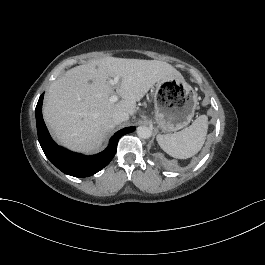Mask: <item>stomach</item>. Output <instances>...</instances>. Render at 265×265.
Listing matches in <instances>:
<instances>
[{"mask_svg": "<svg viewBox=\"0 0 265 265\" xmlns=\"http://www.w3.org/2000/svg\"><path fill=\"white\" fill-rule=\"evenodd\" d=\"M197 106V94L184 78L171 77L156 83L155 120L164 133L186 127Z\"/></svg>", "mask_w": 265, "mask_h": 265, "instance_id": "0dacf381", "label": "stomach"}]
</instances>
